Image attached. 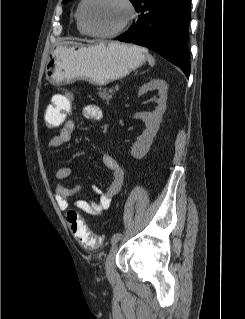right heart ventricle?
<instances>
[{"label":"right heart ventricle","mask_w":245,"mask_h":319,"mask_svg":"<svg viewBox=\"0 0 245 319\" xmlns=\"http://www.w3.org/2000/svg\"><path fill=\"white\" fill-rule=\"evenodd\" d=\"M83 1L84 0H81L77 6V9H76V13H75V17H76V25H77V29L78 31L83 34V35H86L87 33L85 32L82 24H81V20H80V10H81V6L83 4Z\"/></svg>","instance_id":"1"}]
</instances>
